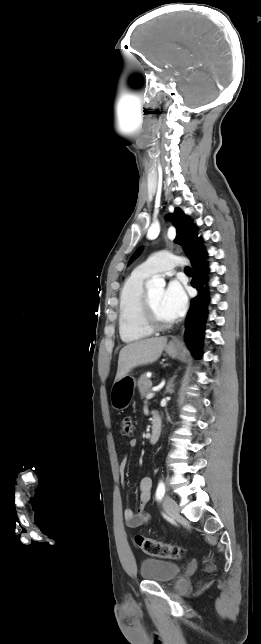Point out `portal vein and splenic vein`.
I'll list each match as a JSON object with an SVG mask.
<instances>
[{"label": "portal vein and splenic vein", "mask_w": 261, "mask_h": 644, "mask_svg": "<svg viewBox=\"0 0 261 644\" xmlns=\"http://www.w3.org/2000/svg\"><path fill=\"white\" fill-rule=\"evenodd\" d=\"M154 395H155V393L151 392V393L147 394L146 398L151 399V398L154 397Z\"/></svg>", "instance_id": "portal-vein-and-splenic-vein-1"}]
</instances>
